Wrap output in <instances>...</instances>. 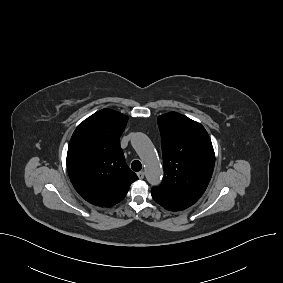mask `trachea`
Wrapping results in <instances>:
<instances>
[{"mask_svg": "<svg viewBox=\"0 0 283 283\" xmlns=\"http://www.w3.org/2000/svg\"><path fill=\"white\" fill-rule=\"evenodd\" d=\"M131 168L133 171L138 172L142 169V164L138 160H134L131 164Z\"/></svg>", "mask_w": 283, "mask_h": 283, "instance_id": "trachea-1", "label": "trachea"}]
</instances>
